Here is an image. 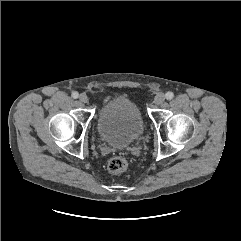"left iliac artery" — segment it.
<instances>
[{"instance_id": "left-iliac-artery-1", "label": "left iliac artery", "mask_w": 241, "mask_h": 241, "mask_svg": "<svg viewBox=\"0 0 241 241\" xmlns=\"http://www.w3.org/2000/svg\"><path fill=\"white\" fill-rule=\"evenodd\" d=\"M165 97H166L167 100H171V99H173L174 94H173L172 92H167V93L165 94Z\"/></svg>"}]
</instances>
